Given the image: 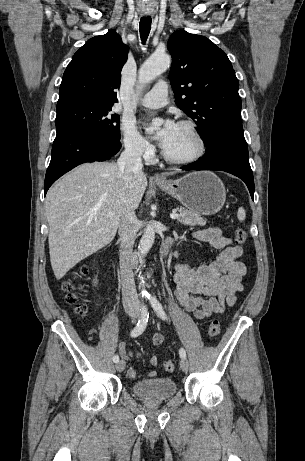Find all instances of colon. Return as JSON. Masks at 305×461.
Segmentation results:
<instances>
[{
	"label": "colon",
	"mask_w": 305,
	"mask_h": 461,
	"mask_svg": "<svg viewBox=\"0 0 305 461\" xmlns=\"http://www.w3.org/2000/svg\"><path fill=\"white\" fill-rule=\"evenodd\" d=\"M247 240V234L243 228H236L234 231V241L237 245H243ZM90 271V266H83L78 272V275H87ZM62 289L65 292V303L70 305L74 311L79 315H84L87 312V306L82 302L76 291V286L72 281H66L62 285ZM221 330L220 323L217 319H214L208 328V334L211 337H216L219 335ZM163 367L166 372H173L175 369V364L172 360H165Z\"/></svg>",
	"instance_id": "1"
}]
</instances>
